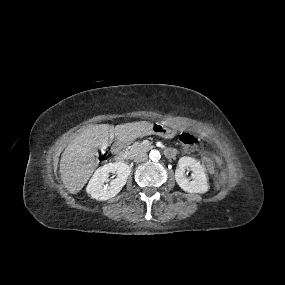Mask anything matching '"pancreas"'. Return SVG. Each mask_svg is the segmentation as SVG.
<instances>
[{"mask_svg": "<svg viewBox=\"0 0 285 285\" xmlns=\"http://www.w3.org/2000/svg\"><path fill=\"white\" fill-rule=\"evenodd\" d=\"M148 150V147L142 142H135L133 145L128 147V152L132 155H135L139 152Z\"/></svg>", "mask_w": 285, "mask_h": 285, "instance_id": "cf45deb5", "label": "pancreas"}]
</instances>
